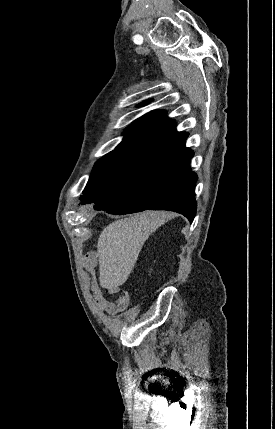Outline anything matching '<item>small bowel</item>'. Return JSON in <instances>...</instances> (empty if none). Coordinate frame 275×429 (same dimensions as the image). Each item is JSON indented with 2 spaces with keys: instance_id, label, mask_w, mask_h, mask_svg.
Returning <instances> with one entry per match:
<instances>
[{
  "instance_id": "1",
  "label": "small bowel",
  "mask_w": 275,
  "mask_h": 429,
  "mask_svg": "<svg viewBox=\"0 0 275 429\" xmlns=\"http://www.w3.org/2000/svg\"><path fill=\"white\" fill-rule=\"evenodd\" d=\"M111 293L118 295L116 300H109L104 297L101 288L98 285L91 286L93 300L95 304L109 314H115L126 309L130 303V295L127 291L118 287H107Z\"/></svg>"
}]
</instances>
